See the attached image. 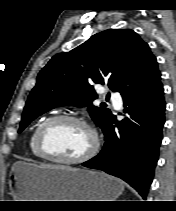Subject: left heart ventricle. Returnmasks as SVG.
Segmentation results:
<instances>
[{"instance_id":"b2bd125f","label":"left heart ventricle","mask_w":176,"mask_h":211,"mask_svg":"<svg viewBox=\"0 0 176 211\" xmlns=\"http://www.w3.org/2000/svg\"><path fill=\"white\" fill-rule=\"evenodd\" d=\"M43 141L51 153L71 159L87 152L92 144V137L82 125L58 121L46 128Z\"/></svg>"}]
</instances>
